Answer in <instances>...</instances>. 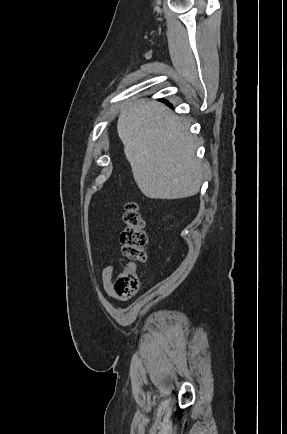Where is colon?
<instances>
[{
    "mask_svg": "<svg viewBox=\"0 0 287 434\" xmlns=\"http://www.w3.org/2000/svg\"><path fill=\"white\" fill-rule=\"evenodd\" d=\"M124 223L125 227L121 233L123 255L131 262H144L148 238L145 232V221L136 203L130 202L126 205ZM139 287L138 271L130 265L120 272L113 289L118 297L131 298L137 294Z\"/></svg>",
    "mask_w": 287,
    "mask_h": 434,
    "instance_id": "obj_1",
    "label": "colon"
}]
</instances>
